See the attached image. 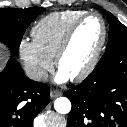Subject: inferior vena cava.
Returning a JSON list of instances; mask_svg holds the SVG:
<instances>
[{
    "label": "inferior vena cava",
    "mask_w": 127,
    "mask_h": 127,
    "mask_svg": "<svg viewBox=\"0 0 127 127\" xmlns=\"http://www.w3.org/2000/svg\"><path fill=\"white\" fill-rule=\"evenodd\" d=\"M27 77L34 80V81H43L46 80L48 74L45 70L36 69V68H29L26 70Z\"/></svg>",
    "instance_id": "inferior-vena-cava-1"
}]
</instances>
